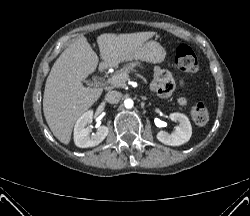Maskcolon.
Segmentation results:
<instances>
[{
  "label": "colon",
  "mask_w": 250,
  "mask_h": 216,
  "mask_svg": "<svg viewBox=\"0 0 250 216\" xmlns=\"http://www.w3.org/2000/svg\"><path fill=\"white\" fill-rule=\"evenodd\" d=\"M175 60L177 67L183 72L193 73L198 69L196 54L187 45L178 46ZM191 116L197 125H205L209 121V112L203 103H196L192 106Z\"/></svg>",
  "instance_id": "1"
}]
</instances>
